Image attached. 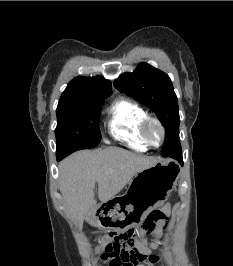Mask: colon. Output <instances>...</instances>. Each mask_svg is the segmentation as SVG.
<instances>
[{"mask_svg":"<svg viewBox=\"0 0 233 266\" xmlns=\"http://www.w3.org/2000/svg\"><path fill=\"white\" fill-rule=\"evenodd\" d=\"M167 216L161 210L152 211L144 220L141 229L146 233L152 232L158 224L166 225ZM106 242L104 255L111 263L118 261L122 266H137L143 256L135 245V229L132 232H110L104 236Z\"/></svg>","mask_w":233,"mask_h":266,"instance_id":"obj_1","label":"colon"}]
</instances>
